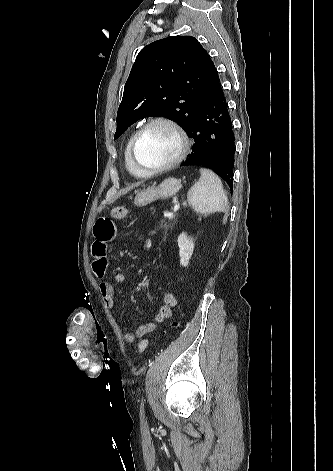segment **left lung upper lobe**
Listing matches in <instances>:
<instances>
[{
  "mask_svg": "<svg viewBox=\"0 0 333 471\" xmlns=\"http://www.w3.org/2000/svg\"><path fill=\"white\" fill-rule=\"evenodd\" d=\"M216 68L191 36H170L145 46L124 87L114 139L147 116H163L191 128Z\"/></svg>",
  "mask_w": 333,
  "mask_h": 471,
  "instance_id": "5c2ea615",
  "label": "left lung upper lobe"
}]
</instances>
